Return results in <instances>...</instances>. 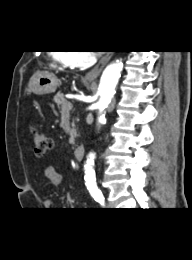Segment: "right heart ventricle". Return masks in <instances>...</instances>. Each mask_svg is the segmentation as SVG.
<instances>
[{"label":"right heart ventricle","instance_id":"e07e8e85","mask_svg":"<svg viewBox=\"0 0 192 260\" xmlns=\"http://www.w3.org/2000/svg\"><path fill=\"white\" fill-rule=\"evenodd\" d=\"M68 55L69 54L67 52L59 51V52L54 53L53 58L57 62L65 65V66H71L69 61H68Z\"/></svg>","mask_w":192,"mask_h":260}]
</instances>
